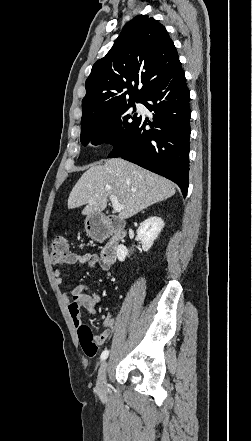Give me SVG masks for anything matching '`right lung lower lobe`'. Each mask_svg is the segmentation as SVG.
I'll return each instance as SVG.
<instances>
[{
    "instance_id": "right-lung-lower-lobe-1",
    "label": "right lung lower lobe",
    "mask_w": 252,
    "mask_h": 441,
    "mask_svg": "<svg viewBox=\"0 0 252 441\" xmlns=\"http://www.w3.org/2000/svg\"><path fill=\"white\" fill-rule=\"evenodd\" d=\"M189 90L180 61L156 82L141 100L153 111L151 129L140 118L130 134L116 144L108 158L121 157L162 175L188 190L191 110ZM146 101H151L147 103Z\"/></svg>"
}]
</instances>
